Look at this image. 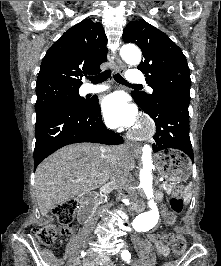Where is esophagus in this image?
<instances>
[{"instance_id":"34e87169","label":"esophagus","mask_w":221,"mask_h":266,"mask_svg":"<svg viewBox=\"0 0 221 266\" xmlns=\"http://www.w3.org/2000/svg\"><path fill=\"white\" fill-rule=\"evenodd\" d=\"M117 71L119 73H124V71H125V65L119 59H117ZM127 144L129 146H133V144L131 142H127Z\"/></svg>"}]
</instances>
